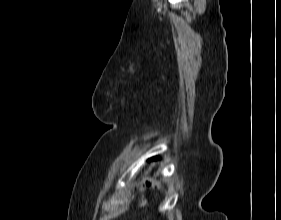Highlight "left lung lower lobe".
<instances>
[{
  "instance_id": "obj_1",
  "label": "left lung lower lobe",
  "mask_w": 281,
  "mask_h": 220,
  "mask_svg": "<svg viewBox=\"0 0 281 220\" xmlns=\"http://www.w3.org/2000/svg\"><path fill=\"white\" fill-rule=\"evenodd\" d=\"M158 158H159L158 156L152 157L151 160L158 159Z\"/></svg>"
}]
</instances>
